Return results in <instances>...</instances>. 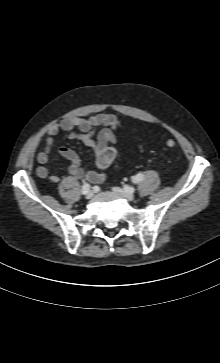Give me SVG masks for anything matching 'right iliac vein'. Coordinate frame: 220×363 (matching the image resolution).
I'll return each instance as SVG.
<instances>
[{"mask_svg": "<svg viewBox=\"0 0 220 363\" xmlns=\"http://www.w3.org/2000/svg\"><path fill=\"white\" fill-rule=\"evenodd\" d=\"M93 196V192L92 191H89L88 193H86L85 197L86 199H91Z\"/></svg>", "mask_w": 220, "mask_h": 363, "instance_id": "1", "label": "right iliac vein"}]
</instances>
